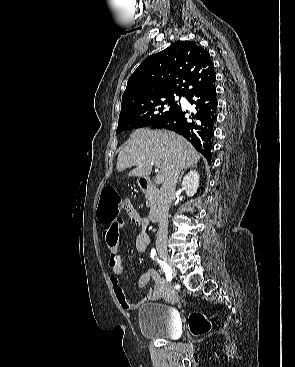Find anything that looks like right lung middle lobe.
Instances as JSON below:
<instances>
[{"instance_id": "right-lung-middle-lobe-1", "label": "right lung middle lobe", "mask_w": 295, "mask_h": 367, "mask_svg": "<svg viewBox=\"0 0 295 367\" xmlns=\"http://www.w3.org/2000/svg\"><path fill=\"white\" fill-rule=\"evenodd\" d=\"M174 97V94H165L129 103L119 115L117 133L136 128L151 127L157 121L172 114L180 108Z\"/></svg>"}]
</instances>
